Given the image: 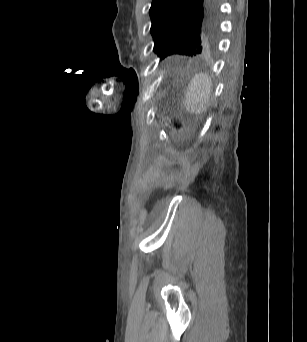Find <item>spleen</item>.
<instances>
[{
    "instance_id": "1",
    "label": "spleen",
    "mask_w": 307,
    "mask_h": 342,
    "mask_svg": "<svg viewBox=\"0 0 307 342\" xmlns=\"http://www.w3.org/2000/svg\"><path fill=\"white\" fill-rule=\"evenodd\" d=\"M211 78L208 74H195L193 76L188 90L185 94L184 109L188 110V114H203L204 110H209Z\"/></svg>"
}]
</instances>
